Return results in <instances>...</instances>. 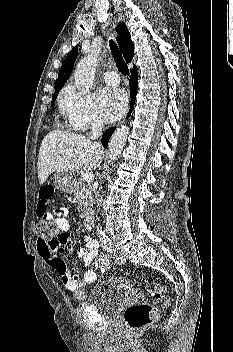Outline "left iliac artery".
<instances>
[{"instance_id":"obj_1","label":"left iliac artery","mask_w":233,"mask_h":352,"mask_svg":"<svg viewBox=\"0 0 233 352\" xmlns=\"http://www.w3.org/2000/svg\"><path fill=\"white\" fill-rule=\"evenodd\" d=\"M110 253L113 254V256H115L116 258V262L118 264H123L125 262V260L123 259V257L121 255H117V250L115 247H110V250H109Z\"/></svg>"}]
</instances>
